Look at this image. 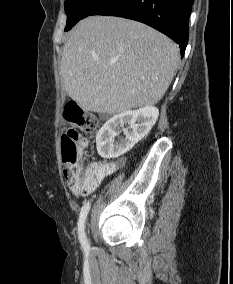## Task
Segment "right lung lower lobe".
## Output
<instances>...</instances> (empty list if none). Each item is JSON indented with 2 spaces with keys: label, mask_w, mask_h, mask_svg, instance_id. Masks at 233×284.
<instances>
[{
  "label": "right lung lower lobe",
  "mask_w": 233,
  "mask_h": 284,
  "mask_svg": "<svg viewBox=\"0 0 233 284\" xmlns=\"http://www.w3.org/2000/svg\"><path fill=\"white\" fill-rule=\"evenodd\" d=\"M194 0H107L91 15L119 16L143 22L166 34L185 53Z\"/></svg>",
  "instance_id": "obj_1"
}]
</instances>
